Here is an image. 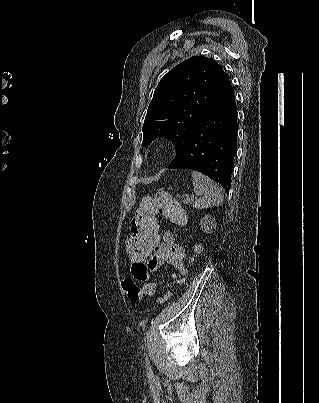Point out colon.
Returning <instances> with one entry per match:
<instances>
[{
	"label": "colon",
	"instance_id": "obj_1",
	"mask_svg": "<svg viewBox=\"0 0 319 403\" xmlns=\"http://www.w3.org/2000/svg\"><path fill=\"white\" fill-rule=\"evenodd\" d=\"M160 214L174 222H179L183 211L177 200L165 192L145 196L141 200L130 222L132 229L130 237L125 239L127 264H136L140 258L149 263L154 247L159 245L162 221H158L156 217ZM122 287L130 305L153 295L156 290L155 283L141 286V283H131L129 276L123 277Z\"/></svg>",
	"mask_w": 319,
	"mask_h": 403
}]
</instances>
